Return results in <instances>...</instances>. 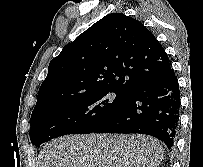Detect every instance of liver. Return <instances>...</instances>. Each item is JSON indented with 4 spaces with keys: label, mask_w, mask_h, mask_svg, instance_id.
<instances>
[{
    "label": "liver",
    "mask_w": 203,
    "mask_h": 167,
    "mask_svg": "<svg viewBox=\"0 0 203 167\" xmlns=\"http://www.w3.org/2000/svg\"><path fill=\"white\" fill-rule=\"evenodd\" d=\"M39 167H157L159 141L144 135H67L48 142Z\"/></svg>",
    "instance_id": "obj_1"
}]
</instances>
